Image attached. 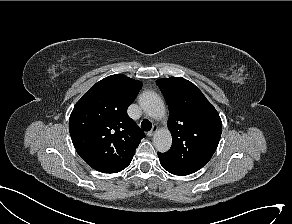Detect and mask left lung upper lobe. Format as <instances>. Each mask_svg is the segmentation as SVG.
I'll return each instance as SVG.
<instances>
[{
  "label": "left lung upper lobe",
  "mask_w": 292,
  "mask_h": 224,
  "mask_svg": "<svg viewBox=\"0 0 292 224\" xmlns=\"http://www.w3.org/2000/svg\"><path fill=\"white\" fill-rule=\"evenodd\" d=\"M168 107L171 149L158 152L159 160L192 174L213 156L222 131L220 116L203 93L182 77L157 80Z\"/></svg>",
  "instance_id": "left-lung-upper-lobe-1"
}]
</instances>
